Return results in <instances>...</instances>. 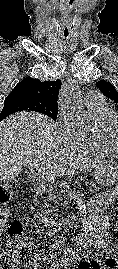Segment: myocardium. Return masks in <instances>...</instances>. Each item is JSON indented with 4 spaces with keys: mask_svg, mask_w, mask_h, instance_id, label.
<instances>
[{
    "mask_svg": "<svg viewBox=\"0 0 118 269\" xmlns=\"http://www.w3.org/2000/svg\"><path fill=\"white\" fill-rule=\"evenodd\" d=\"M118 126V114L113 116L105 125L106 134L112 149L118 154V144L115 140V130Z\"/></svg>",
    "mask_w": 118,
    "mask_h": 269,
    "instance_id": "f54148a6",
    "label": "myocardium"
}]
</instances>
